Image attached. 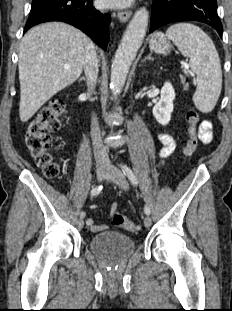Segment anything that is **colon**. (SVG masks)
Returning <instances> with one entry per match:
<instances>
[{"label":"colon","instance_id":"colon-1","mask_svg":"<svg viewBox=\"0 0 232 311\" xmlns=\"http://www.w3.org/2000/svg\"><path fill=\"white\" fill-rule=\"evenodd\" d=\"M64 103L61 99H55L39 110L37 115L28 123L24 133V143L26 149L35 159L36 163L43 168L47 177L56 178L60 170L58 164L53 159L52 133L59 130L63 123ZM188 140L184 149V154L192 156L196 151L199 133V115L196 110L187 112ZM116 226L129 232H137L138 226L121 214H116L113 218Z\"/></svg>","mask_w":232,"mask_h":311}]
</instances>
